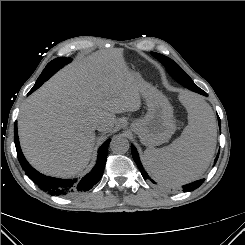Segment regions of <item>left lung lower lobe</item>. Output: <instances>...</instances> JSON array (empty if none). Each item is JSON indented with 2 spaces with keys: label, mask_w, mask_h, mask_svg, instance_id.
Returning a JSON list of instances; mask_svg holds the SVG:
<instances>
[{
  "label": "left lung lower lobe",
  "mask_w": 245,
  "mask_h": 245,
  "mask_svg": "<svg viewBox=\"0 0 245 245\" xmlns=\"http://www.w3.org/2000/svg\"><path fill=\"white\" fill-rule=\"evenodd\" d=\"M176 81H178L180 84H182L183 86H185L186 88L194 91V92H197L199 94H202V95H205L207 96L206 92H204L202 89H200L198 86L196 85H189L184 79L180 78L179 76H177V79H175ZM218 122H219V127H221V123H220V118L218 117ZM131 152H132V156H133V159L134 161L136 162L139 170L141 171V174L143 176V178L146 180V179H150L148 174L146 173V171L144 170L141 162H140V159H139V155H138V152L136 150V148L134 146H131ZM218 156H219V152H218V155L217 157L215 158V161L214 163H216L217 159H218ZM153 182V181H152ZM204 182V179H201V180H197L195 182H192V183H189L187 185H184L182 188H183V191L184 192H189V191H193L195 189H197L202 183ZM154 183V182H153Z\"/></svg>",
  "instance_id": "left-lung-lower-lobe-1"
}]
</instances>
